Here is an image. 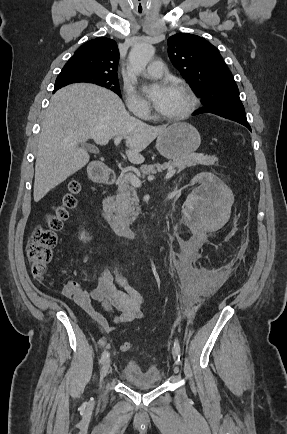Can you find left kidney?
I'll list each match as a JSON object with an SVG mask.
<instances>
[{
    "mask_svg": "<svg viewBox=\"0 0 287 434\" xmlns=\"http://www.w3.org/2000/svg\"><path fill=\"white\" fill-rule=\"evenodd\" d=\"M193 181L201 185L187 197L184 217L188 221L216 218L218 223H222L234 202L232 191L212 173H200Z\"/></svg>",
    "mask_w": 287,
    "mask_h": 434,
    "instance_id": "left-kidney-1",
    "label": "left kidney"
}]
</instances>
